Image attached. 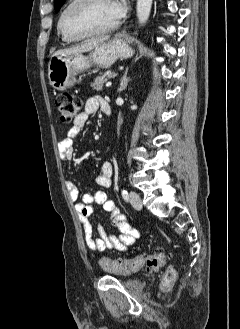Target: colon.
<instances>
[{
  "label": "colon",
  "instance_id": "colon-1",
  "mask_svg": "<svg viewBox=\"0 0 240 329\" xmlns=\"http://www.w3.org/2000/svg\"><path fill=\"white\" fill-rule=\"evenodd\" d=\"M55 105L58 109L59 120L64 124L74 122L81 114V99L74 95L68 93L59 94L55 99ZM167 258L168 254L166 252L156 251L151 254L138 255L125 261L101 259L100 266L105 271L116 274H130L140 269L156 271L165 265ZM176 277V270L169 267L160 285V289L164 294H168L172 290Z\"/></svg>",
  "mask_w": 240,
  "mask_h": 329
}]
</instances>
